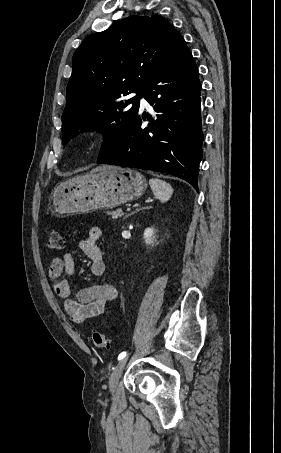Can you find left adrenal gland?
<instances>
[{
	"mask_svg": "<svg viewBox=\"0 0 281 453\" xmlns=\"http://www.w3.org/2000/svg\"><path fill=\"white\" fill-rule=\"evenodd\" d=\"M127 216H129V214H126L125 218H127Z\"/></svg>",
	"mask_w": 281,
	"mask_h": 453,
	"instance_id": "obj_1",
	"label": "left adrenal gland"
}]
</instances>
